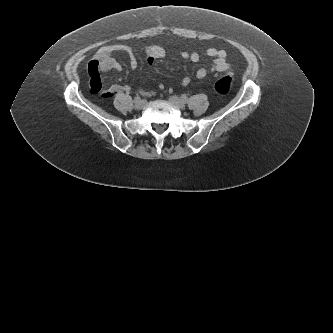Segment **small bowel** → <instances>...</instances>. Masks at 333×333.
Here are the masks:
<instances>
[{"instance_id": "obj_1", "label": "small bowel", "mask_w": 333, "mask_h": 333, "mask_svg": "<svg viewBox=\"0 0 333 333\" xmlns=\"http://www.w3.org/2000/svg\"><path fill=\"white\" fill-rule=\"evenodd\" d=\"M117 52H125L129 55V64L131 69H137L139 66V60L134 54L132 49L126 45L114 44L107 45L99 48L93 55L88 63V72L91 75L89 89L92 93L97 94L101 91L102 82L100 78V73L107 72L111 70H120V63L114 58V54ZM206 55L213 59V65L211 71L225 72L230 69V64L227 61V54L224 50L209 48L206 51ZM165 56V50L160 46H150L146 49V61L148 65H152L156 60L161 59ZM180 56L183 59L190 60L191 62H198L200 55L197 52H187L181 51ZM208 74V69L199 68L195 72V77L198 80L205 78ZM191 79L185 76L181 84L186 87L190 84ZM158 90L163 89V85H158ZM131 92L132 88L129 85L113 84L103 93L104 97H112L119 92ZM143 95H152L154 92H146L140 90Z\"/></svg>"}]
</instances>
